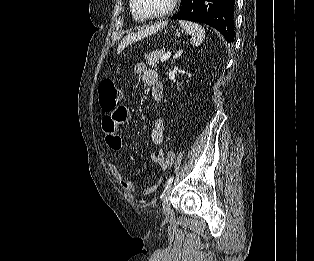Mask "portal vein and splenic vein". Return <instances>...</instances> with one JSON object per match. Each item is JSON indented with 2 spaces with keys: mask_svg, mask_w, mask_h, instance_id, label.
Returning <instances> with one entry per match:
<instances>
[{
  "mask_svg": "<svg viewBox=\"0 0 314 261\" xmlns=\"http://www.w3.org/2000/svg\"><path fill=\"white\" fill-rule=\"evenodd\" d=\"M170 56H171V53L167 52L160 58V61L165 62L166 60H168L170 58Z\"/></svg>",
  "mask_w": 314,
  "mask_h": 261,
  "instance_id": "1",
  "label": "portal vein and splenic vein"
}]
</instances>
